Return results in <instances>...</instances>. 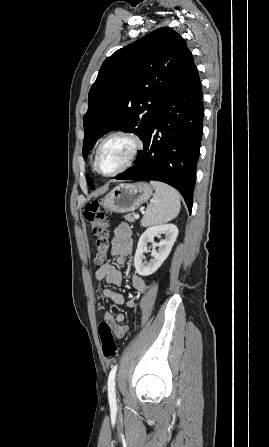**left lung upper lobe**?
<instances>
[{"label":"left lung upper lobe","instance_id":"obj_1","mask_svg":"<svg viewBox=\"0 0 269 447\" xmlns=\"http://www.w3.org/2000/svg\"><path fill=\"white\" fill-rule=\"evenodd\" d=\"M185 40L168 27L119 49L102 64L84 115L83 156L103 134L121 129L143 143L185 54ZM87 183L94 188L92 178Z\"/></svg>","mask_w":269,"mask_h":447}]
</instances>
